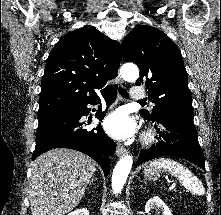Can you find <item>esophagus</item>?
<instances>
[{"instance_id": "1", "label": "esophagus", "mask_w": 221, "mask_h": 215, "mask_svg": "<svg viewBox=\"0 0 221 215\" xmlns=\"http://www.w3.org/2000/svg\"><path fill=\"white\" fill-rule=\"evenodd\" d=\"M117 79H118L119 84H120V86H121L122 88H127L126 82L121 78L120 75L117 76ZM126 152H127V150H126V148H125L123 145L119 144V145L117 146V149H116V155H117V156L122 157L123 155L126 154Z\"/></svg>"}]
</instances>
